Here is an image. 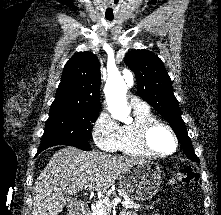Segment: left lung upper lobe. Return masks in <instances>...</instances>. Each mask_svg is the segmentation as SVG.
<instances>
[{
  "mask_svg": "<svg viewBox=\"0 0 221 215\" xmlns=\"http://www.w3.org/2000/svg\"><path fill=\"white\" fill-rule=\"evenodd\" d=\"M125 64L134 71L139 96L146 100L171 125L188 158L200 162L181 118L179 103L173 94L171 79L161 59L148 50H132Z\"/></svg>",
  "mask_w": 221,
  "mask_h": 215,
  "instance_id": "left-lung-upper-lobe-1",
  "label": "left lung upper lobe"
}]
</instances>
